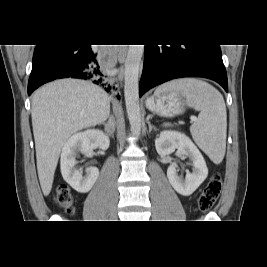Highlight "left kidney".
I'll return each mask as SVG.
<instances>
[{
  "label": "left kidney",
  "instance_id": "left-kidney-1",
  "mask_svg": "<svg viewBox=\"0 0 267 267\" xmlns=\"http://www.w3.org/2000/svg\"><path fill=\"white\" fill-rule=\"evenodd\" d=\"M155 147L159 154L170 155L176 149L183 156L192 160L193 171L183 179L176 170V163L170 164L167 169V177L172 187L181 195H191L207 178L208 168L206 162L195 146L185 134L175 131H162L155 139Z\"/></svg>",
  "mask_w": 267,
  "mask_h": 267
}]
</instances>
